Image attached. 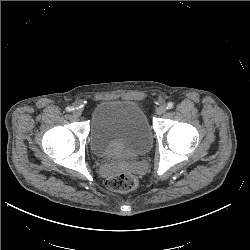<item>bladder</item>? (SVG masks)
Returning a JSON list of instances; mask_svg holds the SVG:
<instances>
[{
    "mask_svg": "<svg viewBox=\"0 0 250 250\" xmlns=\"http://www.w3.org/2000/svg\"><path fill=\"white\" fill-rule=\"evenodd\" d=\"M153 132L143 109L128 100H103L93 109L89 145L93 155L128 160L147 153Z\"/></svg>",
    "mask_w": 250,
    "mask_h": 250,
    "instance_id": "obj_1",
    "label": "bladder"
}]
</instances>
